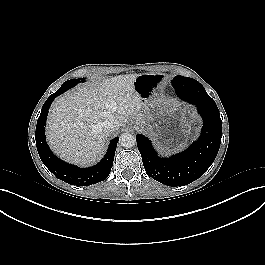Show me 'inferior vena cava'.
Masks as SVG:
<instances>
[{"label": "inferior vena cava", "mask_w": 265, "mask_h": 265, "mask_svg": "<svg viewBox=\"0 0 265 265\" xmlns=\"http://www.w3.org/2000/svg\"><path fill=\"white\" fill-rule=\"evenodd\" d=\"M100 126L102 130L108 134L114 131L118 127V122L115 119L110 118L101 122Z\"/></svg>", "instance_id": "inferior-vena-cava-1"}]
</instances>
